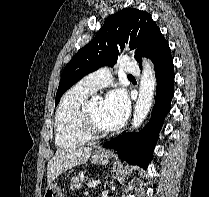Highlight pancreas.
Instances as JSON below:
<instances>
[{
	"mask_svg": "<svg viewBox=\"0 0 209 197\" xmlns=\"http://www.w3.org/2000/svg\"><path fill=\"white\" fill-rule=\"evenodd\" d=\"M83 188V181L80 175L75 176L71 179L70 189H82Z\"/></svg>",
	"mask_w": 209,
	"mask_h": 197,
	"instance_id": "cf45deb5",
	"label": "pancreas"
}]
</instances>
